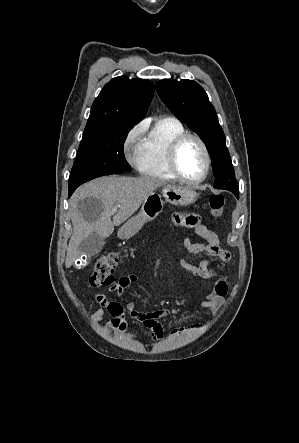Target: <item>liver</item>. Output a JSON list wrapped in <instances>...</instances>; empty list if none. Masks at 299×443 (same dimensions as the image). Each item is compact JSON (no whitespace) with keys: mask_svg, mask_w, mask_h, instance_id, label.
Returning <instances> with one entry per match:
<instances>
[{"mask_svg":"<svg viewBox=\"0 0 299 443\" xmlns=\"http://www.w3.org/2000/svg\"><path fill=\"white\" fill-rule=\"evenodd\" d=\"M163 185L167 183L156 178L113 175L80 186L70 202L73 233L67 248L66 268L80 256L78 247L85 238L93 233L103 239L109 237L114 226L130 218L146 198ZM87 198L90 200L84 203ZM114 208H117L115 215L110 213Z\"/></svg>","mask_w":299,"mask_h":443,"instance_id":"liver-1","label":"liver"}]
</instances>
